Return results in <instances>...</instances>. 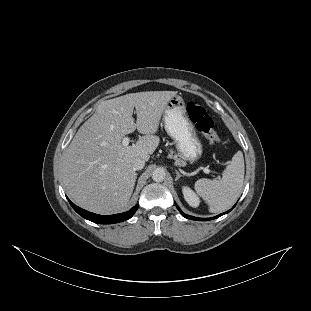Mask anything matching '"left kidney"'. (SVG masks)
Returning a JSON list of instances; mask_svg holds the SVG:
<instances>
[{"instance_id": "1", "label": "left kidney", "mask_w": 311, "mask_h": 311, "mask_svg": "<svg viewBox=\"0 0 311 311\" xmlns=\"http://www.w3.org/2000/svg\"><path fill=\"white\" fill-rule=\"evenodd\" d=\"M182 193L184 196L185 201L191 206V207H198L200 200L199 197L195 194V192L188 186L182 187Z\"/></svg>"}]
</instances>
